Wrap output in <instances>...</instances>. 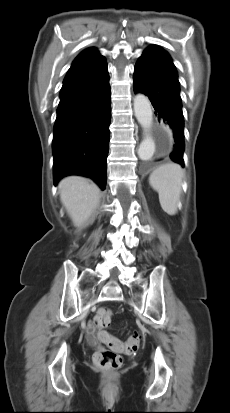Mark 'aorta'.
<instances>
[{
  "instance_id": "aorta-1",
  "label": "aorta",
  "mask_w": 230,
  "mask_h": 413,
  "mask_svg": "<svg viewBox=\"0 0 230 413\" xmlns=\"http://www.w3.org/2000/svg\"><path fill=\"white\" fill-rule=\"evenodd\" d=\"M134 112L137 121L145 132L144 139L139 145L138 156L141 160H150L155 152V140L150 134L153 123V111L151 103L143 94L134 97Z\"/></svg>"
}]
</instances>
